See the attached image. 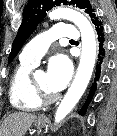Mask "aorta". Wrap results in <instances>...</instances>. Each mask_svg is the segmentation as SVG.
Listing matches in <instances>:
<instances>
[{"instance_id":"762f6f07","label":"aorta","mask_w":117,"mask_h":136,"mask_svg":"<svg viewBox=\"0 0 117 136\" xmlns=\"http://www.w3.org/2000/svg\"><path fill=\"white\" fill-rule=\"evenodd\" d=\"M49 17L52 20L66 19L73 22L79 28L82 40L76 76L55 113V121L60 122L75 107L88 86L95 66L97 42L92 24L80 12L69 8H57Z\"/></svg>"}]
</instances>
